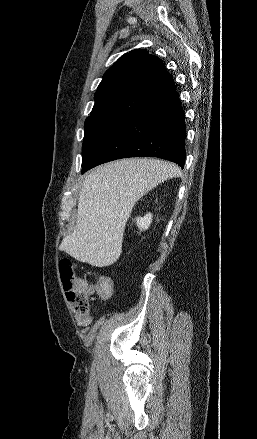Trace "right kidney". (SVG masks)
Returning a JSON list of instances; mask_svg holds the SVG:
<instances>
[{
	"label": "right kidney",
	"mask_w": 257,
	"mask_h": 439,
	"mask_svg": "<svg viewBox=\"0 0 257 439\" xmlns=\"http://www.w3.org/2000/svg\"><path fill=\"white\" fill-rule=\"evenodd\" d=\"M152 222V214L147 213L144 217H138L136 223L140 231L147 230Z\"/></svg>",
	"instance_id": "1"
}]
</instances>
